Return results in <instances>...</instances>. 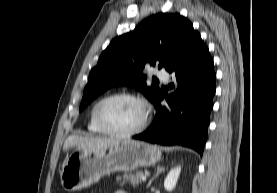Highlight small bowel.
<instances>
[{"instance_id":"c3829d8e","label":"small bowel","mask_w":277,"mask_h":193,"mask_svg":"<svg viewBox=\"0 0 277 193\" xmlns=\"http://www.w3.org/2000/svg\"><path fill=\"white\" fill-rule=\"evenodd\" d=\"M114 193H128V192H126V191H124V190H117V191H115Z\"/></svg>"}]
</instances>
